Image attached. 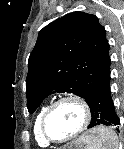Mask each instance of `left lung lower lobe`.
I'll return each instance as SVG.
<instances>
[{
  "instance_id": "left-lung-lower-lobe-1",
  "label": "left lung lower lobe",
  "mask_w": 124,
  "mask_h": 149,
  "mask_svg": "<svg viewBox=\"0 0 124 149\" xmlns=\"http://www.w3.org/2000/svg\"><path fill=\"white\" fill-rule=\"evenodd\" d=\"M85 101L91 110V122L88 128H93L100 124L106 126H116L120 124L111 97L110 76L91 90L87 94Z\"/></svg>"
}]
</instances>
